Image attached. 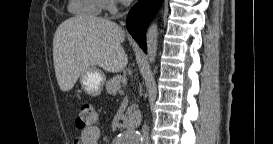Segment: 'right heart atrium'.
<instances>
[{
  "instance_id": "obj_1",
  "label": "right heart atrium",
  "mask_w": 273,
  "mask_h": 144,
  "mask_svg": "<svg viewBox=\"0 0 273 144\" xmlns=\"http://www.w3.org/2000/svg\"><path fill=\"white\" fill-rule=\"evenodd\" d=\"M103 1V10L107 11L110 14H116L118 11V4L115 0H102Z\"/></svg>"
}]
</instances>
